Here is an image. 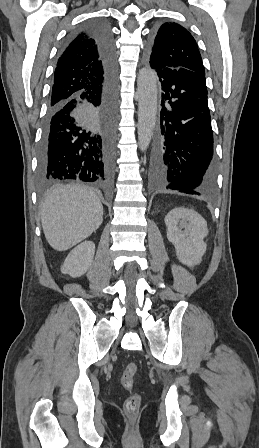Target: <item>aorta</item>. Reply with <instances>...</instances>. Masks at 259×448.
I'll list each match as a JSON object with an SVG mask.
<instances>
[{
  "label": "aorta",
  "mask_w": 259,
  "mask_h": 448,
  "mask_svg": "<svg viewBox=\"0 0 259 448\" xmlns=\"http://www.w3.org/2000/svg\"><path fill=\"white\" fill-rule=\"evenodd\" d=\"M138 92V145L148 148L157 119V76L154 70L142 68L137 77Z\"/></svg>",
  "instance_id": "762f6f07"
}]
</instances>
